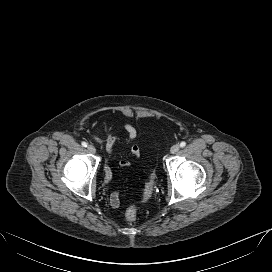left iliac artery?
<instances>
[{
    "label": "left iliac artery",
    "mask_w": 272,
    "mask_h": 272,
    "mask_svg": "<svg viewBox=\"0 0 272 272\" xmlns=\"http://www.w3.org/2000/svg\"><path fill=\"white\" fill-rule=\"evenodd\" d=\"M185 146H186V142L183 141V142L180 143V147L183 148V147H185Z\"/></svg>",
    "instance_id": "1"
}]
</instances>
